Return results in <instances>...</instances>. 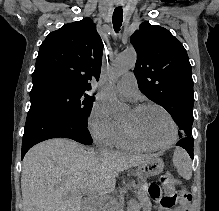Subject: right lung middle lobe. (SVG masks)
Returning <instances> with one entry per match:
<instances>
[{
    "label": "right lung middle lobe",
    "instance_id": "right-lung-middle-lobe-1",
    "mask_svg": "<svg viewBox=\"0 0 219 211\" xmlns=\"http://www.w3.org/2000/svg\"><path fill=\"white\" fill-rule=\"evenodd\" d=\"M30 101L31 105L48 104L54 106L77 121L87 124L94 97L73 87L50 84L30 92Z\"/></svg>",
    "mask_w": 219,
    "mask_h": 211
}]
</instances>
